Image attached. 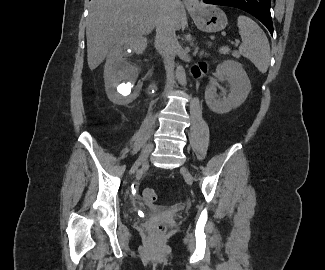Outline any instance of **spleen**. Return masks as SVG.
I'll use <instances>...</instances> for the list:
<instances>
[{"label":"spleen","instance_id":"3e777b00","mask_svg":"<svg viewBox=\"0 0 325 270\" xmlns=\"http://www.w3.org/2000/svg\"><path fill=\"white\" fill-rule=\"evenodd\" d=\"M242 44L239 47L241 55L249 59L261 73H266L270 62V45L266 34L251 18L240 15L237 19ZM220 53L230 52L228 47H221Z\"/></svg>","mask_w":325,"mask_h":270}]
</instances>
